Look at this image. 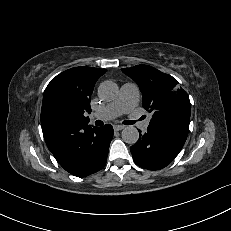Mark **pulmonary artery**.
Returning <instances> with one entry per match:
<instances>
[{
    "mask_svg": "<svg viewBox=\"0 0 231 231\" xmlns=\"http://www.w3.org/2000/svg\"><path fill=\"white\" fill-rule=\"evenodd\" d=\"M139 101V89L134 83H125L121 86L118 96L110 103L91 115L92 119L109 120L124 113H131ZM149 120L139 124L140 129L146 130Z\"/></svg>",
    "mask_w": 231,
    "mask_h": 231,
    "instance_id": "1",
    "label": "pulmonary artery"
}]
</instances>
